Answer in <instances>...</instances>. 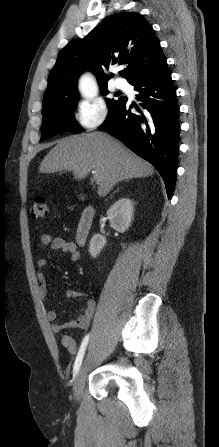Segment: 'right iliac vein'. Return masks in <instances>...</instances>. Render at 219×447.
Wrapping results in <instances>:
<instances>
[{"label":"right iliac vein","mask_w":219,"mask_h":447,"mask_svg":"<svg viewBox=\"0 0 219 447\" xmlns=\"http://www.w3.org/2000/svg\"><path fill=\"white\" fill-rule=\"evenodd\" d=\"M85 379H86V368L85 364H82L76 375L75 383L73 386V397L76 402H79L81 400Z\"/></svg>","instance_id":"63e3f726"}]
</instances>
